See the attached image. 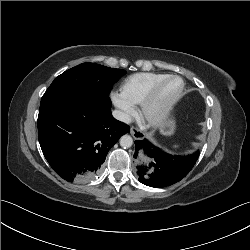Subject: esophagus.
Masks as SVG:
<instances>
[{
    "label": "esophagus",
    "mask_w": 250,
    "mask_h": 250,
    "mask_svg": "<svg viewBox=\"0 0 250 250\" xmlns=\"http://www.w3.org/2000/svg\"><path fill=\"white\" fill-rule=\"evenodd\" d=\"M130 133L135 139H143L144 138V133L137 129L136 127H131L130 128Z\"/></svg>",
    "instance_id": "34e87169"
}]
</instances>
